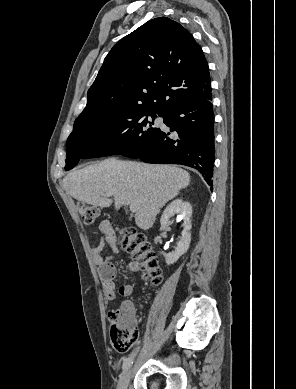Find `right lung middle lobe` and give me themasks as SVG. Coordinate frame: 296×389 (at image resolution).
Masks as SVG:
<instances>
[{
  "mask_svg": "<svg viewBox=\"0 0 296 389\" xmlns=\"http://www.w3.org/2000/svg\"><path fill=\"white\" fill-rule=\"evenodd\" d=\"M165 115L139 108H112L76 119L66 142L65 170L72 169L82 158L120 154L135 158L159 130L153 126L156 116Z\"/></svg>",
  "mask_w": 296,
  "mask_h": 389,
  "instance_id": "obj_1",
  "label": "right lung middle lobe"
}]
</instances>
